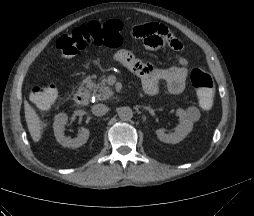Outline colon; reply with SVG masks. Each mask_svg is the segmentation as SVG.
Masks as SVG:
<instances>
[{"label": "colon", "mask_w": 254, "mask_h": 216, "mask_svg": "<svg viewBox=\"0 0 254 216\" xmlns=\"http://www.w3.org/2000/svg\"><path fill=\"white\" fill-rule=\"evenodd\" d=\"M123 41L121 23L117 20H109L104 23L91 22L74 29L61 36L56 47L63 56L72 57L90 45L116 48ZM190 81L202 108L210 109L214 102V83L211 75L201 68H194L190 73ZM57 95L56 87L47 85L33 89L30 97L37 106L46 109L55 102Z\"/></svg>", "instance_id": "5ec220e1"}]
</instances>
